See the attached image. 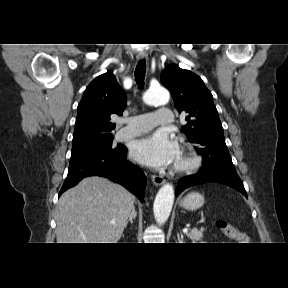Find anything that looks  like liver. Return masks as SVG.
Masks as SVG:
<instances>
[{
  "mask_svg": "<svg viewBox=\"0 0 288 288\" xmlns=\"http://www.w3.org/2000/svg\"><path fill=\"white\" fill-rule=\"evenodd\" d=\"M134 201L132 193L108 179H83L58 201L57 243H117Z\"/></svg>",
  "mask_w": 288,
  "mask_h": 288,
  "instance_id": "obj_1",
  "label": "liver"
}]
</instances>
